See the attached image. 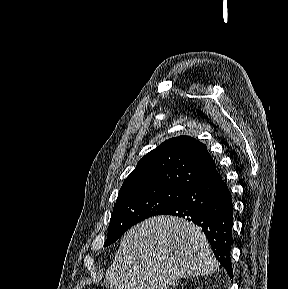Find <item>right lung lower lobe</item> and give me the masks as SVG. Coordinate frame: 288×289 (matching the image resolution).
Returning a JSON list of instances; mask_svg holds the SVG:
<instances>
[{"label": "right lung lower lobe", "mask_w": 288, "mask_h": 289, "mask_svg": "<svg viewBox=\"0 0 288 289\" xmlns=\"http://www.w3.org/2000/svg\"><path fill=\"white\" fill-rule=\"evenodd\" d=\"M162 214L183 217L200 226L216 258L233 277L230 262L233 243L232 198L216 168L186 189L183 197Z\"/></svg>", "instance_id": "obj_1"}]
</instances>
